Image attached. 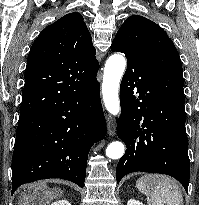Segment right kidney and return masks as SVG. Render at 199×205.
<instances>
[{
    "label": "right kidney",
    "instance_id": "1",
    "mask_svg": "<svg viewBox=\"0 0 199 205\" xmlns=\"http://www.w3.org/2000/svg\"><path fill=\"white\" fill-rule=\"evenodd\" d=\"M51 205H71V204L67 200H59V201L52 203Z\"/></svg>",
    "mask_w": 199,
    "mask_h": 205
}]
</instances>
